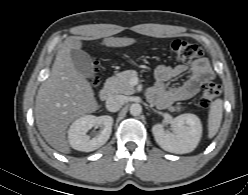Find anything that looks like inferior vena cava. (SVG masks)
Returning <instances> with one entry per match:
<instances>
[{
	"label": "inferior vena cava",
	"mask_w": 248,
	"mask_h": 195,
	"mask_svg": "<svg viewBox=\"0 0 248 195\" xmlns=\"http://www.w3.org/2000/svg\"><path fill=\"white\" fill-rule=\"evenodd\" d=\"M125 100L122 95H112L106 100V108L110 112H116L120 110Z\"/></svg>",
	"instance_id": "1"
}]
</instances>
